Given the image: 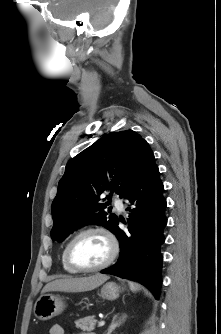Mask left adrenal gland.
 Masks as SVG:
<instances>
[{"instance_id":"a2214340","label":"left adrenal gland","mask_w":221,"mask_h":334,"mask_svg":"<svg viewBox=\"0 0 221 334\" xmlns=\"http://www.w3.org/2000/svg\"><path fill=\"white\" fill-rule=\"evenodd\" d=\"M126 318H127L126 314H123L119 319H118V315H115L112 319V322H111L106 334H111L117 327H119L120 325H122L125 322Z\"/></svg>"}]
</instances>
